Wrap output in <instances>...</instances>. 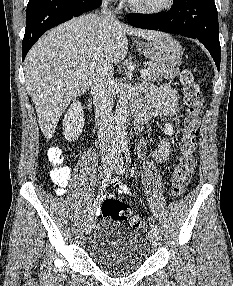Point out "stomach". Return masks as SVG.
Instances as JSON below:
<instances>
[{
    "label": "stomach",
    "instance_id": "0dacf381",
    "mask_svg": "<svg viewBox=\"0 0 233 286\" xmlns=\"http://www.w3.org/2000/svg\"><path fill=\"white\" fill-rule=\"evenodd\" d=\"M139 52L153 65L174 68L179 65L183 56L182 46L170 35L164 34L148 42H137Z\"/></svg>",
    "mask_w": 233,
    "mask_h": 286
}]
</instances>
